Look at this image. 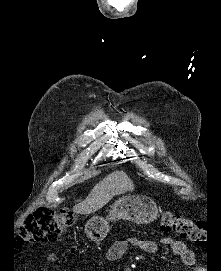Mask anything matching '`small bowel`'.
Here are the masks:
<instances>
[{
  "instance_id": "obj_1",
  "label": "small bowel",
  "mask_w": 221,
  "mask_h": 271,
  "mask_svg": "<svg viewBox=\"0 0 221 271\" xmlns=\"http://www.w3.org/2000/svg\"><path fill=\"white\" fill-rule=\"evenodd\" d=\"M161 244L169 247L174 254L178 255L181 258L182 262L185 265L194 266V252L191 249L187 248V246L182 241L166 237L161 239ZM129 246L137 247L148 254H154L158 250L157 243L153 240L128 237L114 242L107 250L105 258L108 261H116L124 255ZM99 265L101 266L102 262H99ZM125 271L130 270L125 269Z\"/></svg>"
}]
</instances>
